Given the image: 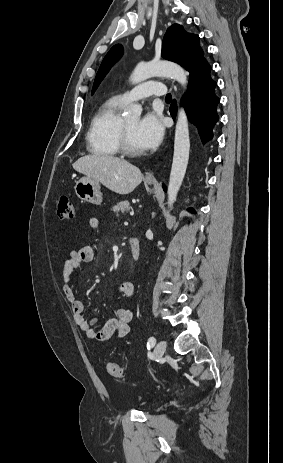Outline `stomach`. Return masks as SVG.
I'll return each mask as SVG.
<instances>
[{
	"instance_id": "stomach-1",
	"label": "stomach",
	"mask_w": 283,
	"mask_h": 463,
	"mask_svg": "<svg viewBox=\"0 0 283 463\" xmlns=\"http://www.w3.org/2000/svg\"><path fill=\"white\" fill-rule=\"evenodd\" d=\"M147 183L152 184V182ZM100 188L99 181L83 177L76 182L74 190L77 197L82 201L99 205L102 202V193Z\"/></svg>"
}]
</instances>
